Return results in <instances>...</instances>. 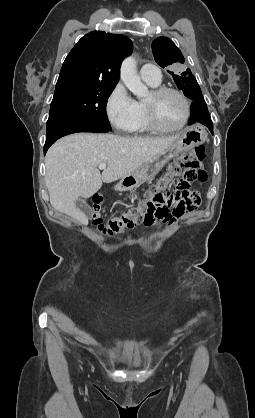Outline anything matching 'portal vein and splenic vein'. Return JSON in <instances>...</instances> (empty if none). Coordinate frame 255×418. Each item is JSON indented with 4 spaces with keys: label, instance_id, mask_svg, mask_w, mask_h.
I'll return each mask as SVG.
<instances>
[{
    "label": "portal vein and splenic vein",
    "instance_id": "obj_1",
    "mask_svg": "<svg viewBox=\"0 0 255 418\" xmlns=\"http://www.w3.org/2000/svg\"><path fill=\"white\" fill-rule=\"evenodd\" d=\"M98 168H99L100 170H103V169H105V168H106V164H105V163L99 164Z\"/></svg>",
    "mask_w": 255,
    "mask_h": 418
}]
</instances>
